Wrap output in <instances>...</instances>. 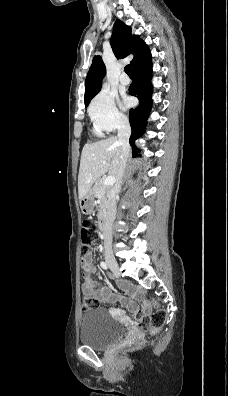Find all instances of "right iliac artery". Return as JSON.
<instances>
[{
    "label": "right iliac artery",
    "mask_w": 228,
    "mask_h": 396,
    "mask_svg": "<svg viewBox=\"0 0 228 396\" xmlns=\"http://www.w3.org/2000/svg\"><path fill=\"white\" fill-rule=\"evenodd\" d=\"M100 265H101V267L104 269V270H107L108 269V266H107V264L105 263V262H101L100 263Z\"/></svg>",
    "instance_id": "obj_1"
}]
</instances>
